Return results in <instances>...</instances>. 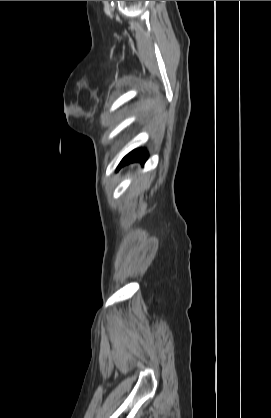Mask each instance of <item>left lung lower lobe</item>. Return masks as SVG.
<instances>
[{
  "mask_svg": "<svg viewBox=\"0 0 271 418\" xmlns=\"http://www.w3.org/2000/svg\"><path fill=\"white\" fill-rule=\"evenodd\" d=\"M147 158H148V153L145 149L141 148V149L133 150L122 159V161L120 162L118 166V169L121 166L132 163V162L144 163L147 160Z\"/></svg>",
  "mask_w": 271,
  "mask_h": 418,
  "instance_id": "obj_1",
  "label": "left lung lower lobe"
}]
</instances>
